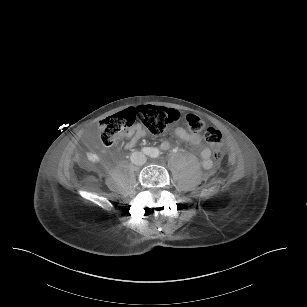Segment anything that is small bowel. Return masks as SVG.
Here are the masks:
<instances>
[{"mask_svg":"<svg viewBox=\"0 0 307 307\" xmlns=\"http://www.w3.org/2000/svg\"><path fill=\"white\" fill-rule=\"evenodd\" d=\"M145 134H146V132L141 126H136V127L132 128L131 130H129L127 132V135L131 136L132 139L126 144V148L127 149L132 148L135 145L136 141L139 138L143 137ZM175 135L181 141H184V142L190 143L192 145L201 147L202 150H201L200 156L203 160V165L206 168L211 167V160H210L211 150L208 147L203 145V140H202V137L199 133L191 132V131H188L184 128H177L175 130ZM169 146H170V144L167 141H163L161 143L162 149H168ZM86 155H87L88 160H90L92 162H97L100 159L99 153L96 150H90V151L87 152Z\"/></svg>","mask_w":307,"mask_h":307,"instance_id":"1","label":"small bowel"}]
</instances>
